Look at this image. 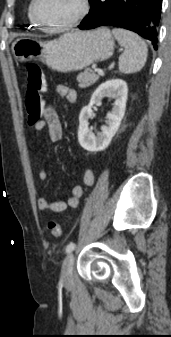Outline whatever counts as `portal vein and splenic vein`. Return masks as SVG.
Masks as SVG:
<instances>
[{
  "label": "portal vein and splenic vein",
  "instance_id": "18ae733b",
  "mask_svg": "<svg viewBox=\"0 0 171 337\" xmlns=\"http://www.w3.org/2000/svg\"><path fill=\"white\" fill-rule=\"evenodd\" d=\"M95 71H97V73H98L99 75H101V76H103V75H104V72H103V70H102V69H100V68H96V69H95Z\"/></svg>",
  "mask_w": 171,
  "mask_h": 337
}]
</instances>
